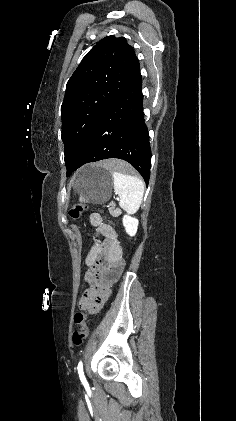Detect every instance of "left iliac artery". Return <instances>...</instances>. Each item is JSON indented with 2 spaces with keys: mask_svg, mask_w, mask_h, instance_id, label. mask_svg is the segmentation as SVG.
Here are the masks:
<instances>
[{
  "mask_svg": "<svg viewBox=\"0 0 236 421\" xmlns=\"http://www.w3.org/2000/svg\"><path fill=\"white\" fill-rule=\"evenodd\" d=\"M77 370H78V373H79V377H80V379H81L82 377H84V373H83V364H82V362H81V361L78 363Z\"/></svg>",
  "mask_w": 236,
  "mask_h": 421,
  "instance_id": "left-iliac-artery-1",
  "label": "left iliac artery"
}]
</instances>
